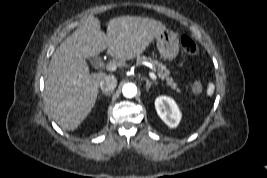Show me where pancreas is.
I'll use <instances>...</instances> for the list:
<instances>
[{
    "label": "pancreas",
    "instance_id": "cf45deb5",
    "mask_svg": "<svg viewBox=\"0 0 267 178\" xmlns=\"http://www.w3.org/2000/svg\"><path fill=\"white\" fill-rule=\"evenodd\" d=\"M138 59L140 61L150 62L153 66V70L157 73V76L160 79L165 80L166 84L169 85L173 90L180 92V89L178 88L177 83L174 82L173 78L170 76V71L166 68L165 65H163L158 60L147 58L145 56L139 57Z\"/></svg>",
    "mask_w": 267,
    "mask_h": 178
}]
</instances>
